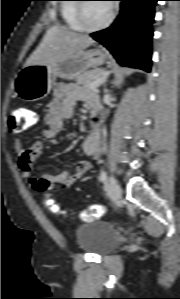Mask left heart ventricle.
<instances>
[{
	"instance_id": "b2bd125f",
	"label": "left heart ventricle",
	"mask_w": 180,
	"mask_h": 299,
	"mask_svg": "<svg viewBox=\"0 0 180 299\" xmlns=\"http://www.w3.org/2000/svg\"><path fill=\"white\" fill-rule=\"evenodd\" d=\"M110 12V5L105 2L86 3L84 15L88 26H97L104 22Z\"/></svg>"
}]
</instances>
